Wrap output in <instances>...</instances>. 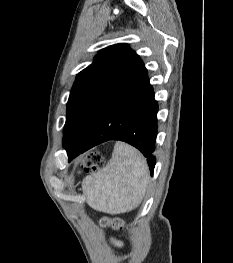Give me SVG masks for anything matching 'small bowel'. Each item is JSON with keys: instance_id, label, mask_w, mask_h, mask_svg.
Wrapping results in <instances>:
<instances>
[{"instance_id": "small-bowel-1", "label": "small bowel", "mask_w": 233, "mask_h": 263, "mask_svg": "<svg viewBox=\"0 0 233 263\" xmlns=\"http://www.w3.org/2000/svg\"><path fill=\"white\" fill-rule=\"evenodd\" d=\"M114 245H116L118 248H122L124 246L123 242L121 241H117V240H113L112 241Z\"/></svg>"}]
</instances>
